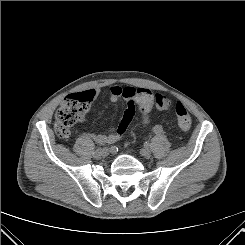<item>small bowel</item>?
Returning <instances> with one entry per match:
<instances>
[{
	"mask_svg": "<svg viewBox=\"0 0 245 245\" xmlns=\"http://www.w3.org/2000/svg\"><path fill=\"white\" fill-rule=\"evenodd\" d=\"M136 88L127 86L121 87L118 85H113L110 87V99L113 102H116L120 98H123L126 102V109L123 113L121 121L118 127L109 132L108 134H87L95 142L104 144V143H114L116 142L127 130L130 125L134 113H135V94ZM153 102L155 103V108L160 111H167L171 107V100L169 97L165 96L162 93H155L153 95Z\"/></svg>",
	"mask_w": 245,
	"mask_h": 245,
	"instance_id": "obj_1",
	"label": "small bowel"
}]
</instances>
